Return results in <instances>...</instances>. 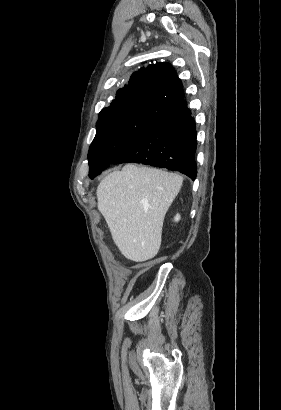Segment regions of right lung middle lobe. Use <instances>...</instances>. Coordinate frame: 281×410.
I'll return each mask as SVG.
<instances>
[{
  "label": "right lung middle lobe",
  "instance_id": "dd1d6c3e",
  "mask_svg": "<svg viewBox=\"0 0 281 410\" xmlns=\"http://www.w3.org/2000/svg\"><path fill=\"white\" fill-rule=\"evenodd\" d=\"M165 109L132 103L102 109L96 136L89 148V177L93 179L119 156L159 117Z\"/></svg>",
  "mask_w": 281,
  "mask_h": 410
}]
</instances>
